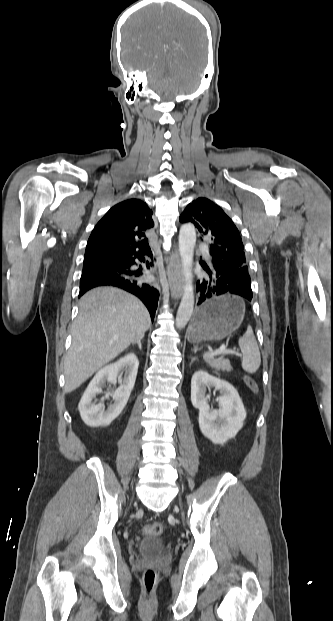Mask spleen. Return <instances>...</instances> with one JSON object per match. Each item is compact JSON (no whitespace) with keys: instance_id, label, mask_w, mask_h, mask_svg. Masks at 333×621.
<instances>
[{"instance_id":"3e777b00","label":"spleen","mask_w":333,"mask_h":621,"mask_svg":"<svg viewBox=\"0 0 333 621\" xmlns=\"http://www.w3.org/2000/svg\"><path fill=\"white\" fill-rule=\"evenodd\" d=\"M238 344L242 352L241 365L243 370L250 374L255 373L261 364V355L250 326L245 334L239 338Z\"/></svg>"}]
</instances>
